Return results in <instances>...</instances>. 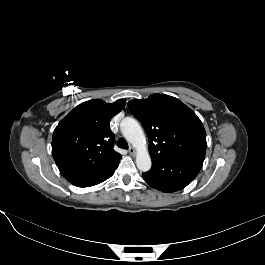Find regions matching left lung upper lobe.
Instances as JSON below:
<instances>
[{
  "mask_svg": "<svg viewBox=\"0 0 265 265\" xmlns=\"http://www.w3.org/2000/svg\"><path fill=\"white\" fill-rule=\"evenodd\" d=\"M143 125L152 161L206 151V132L198 116L179 99L153 94L128 102Z\"/></svg>",
  "mask_w": 265,
  "mask_h": 265,
  "instance_id": "5c2ea615",
  "label": "left lung upper lobe"
}]
</instances>
